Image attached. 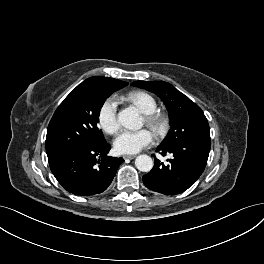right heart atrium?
I'll return each mask as SVG.
<instances>
[{"label": "right heart atrium", "mask_w": 264, "mask_h": 264, "mask_svg": "<svg viewBox=\"0 0 264 264\" xmlns=\"http://www.w3.org/2000/svg\"><path fill=\"white\" fill-rule=\"evenodd\" d=\"M117 110L118 101L114 96L105 99L99 107L98 123L106 133L113 134L119 128Z\"/></svg>", "instance_id": "d8ad5b80"}]
</instances>
